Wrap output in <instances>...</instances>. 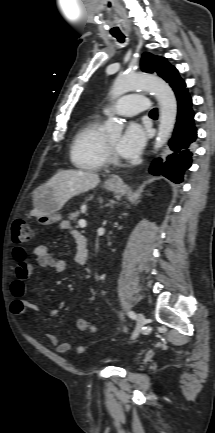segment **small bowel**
Here are the masks:
<instances>
[{
    "instance_id": "1",
    "label": "small bowel",
    "mask_w": 215,
    "mask_h": 433,
    "mask_svg": "<svg viewBox=\"0 0 215 433\" xmlns=\"http://www.w3.org/2000/svg\"><path fill=\"white\" fill-rule=\"evenodd\" d=\"M64 229L72 231L73 237L77 243V250L75 261L77 263L79 259V249L85 238L77 231L72 230L70 223L66 222L62 225ZM33 254L36 257L38 263L47 268H51L55 273L61 274L66 270V263L62 260L54 259L48 248L45 245H38L34 248ZM14 257L17 260V265L14 272V278L10 284V293L14 298L12 304V311L17 316L25 315L29 310H36L37 306L28 302L25 299L26 292V281L29 278L32 265L25 260L26 253L23 249L17 248L14 251ZM57 314L56 310H51L47 316L55 317ZM50 343L56 348L59 353H66L71 349V344L68 341H59L58 337L54 334L48 335ZM76 351L82 353L85 351L84 345H79Z\"/></svg>"
}]
</instances>
